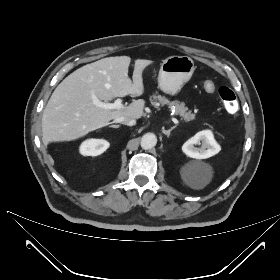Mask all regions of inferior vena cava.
<instances>
[{"label": "inferior vena cava", "mask_w": 280, "mask_h": 280, "mask_svg": "<svg viewBox=\"0 0 280 280\" xmlns=\"http://www.w3.org/2000/svg\"><path fill=\"white\" fill-rule=\"evenodd\" d=\"M113 122L115 123H121L127 126H133L136 124V120L134 118H129V117H124V116H120L117 117L113 120Z\"/></svg>", "instance_id": "602c4592"}]
</instances>
